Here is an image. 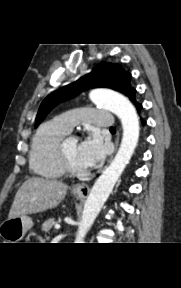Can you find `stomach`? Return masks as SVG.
<instances>
[{
	"instance_id": "0dacf381",
	"label": "stomach",
	"mask_w": 181,
	"mask_h": 288,
	"mask_svg": "<svg viewBox=\"0 0 181 288\" xmlns=\"http://www.w3.org/2000/svg\"><path fill=\"white\" fill-rule=\"evenodd\" d=\"M74 196L77 199L83 198L78 194H74ZM32 226L33 221L27 216L9 217L0 225V236L8 241L7 243H18Z\"/></svg>"
}]
</instances>
